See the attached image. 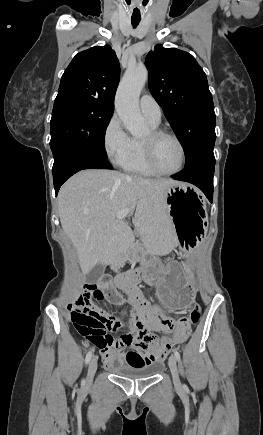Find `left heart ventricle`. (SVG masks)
I'll return each instance as SVG.
<instances>
[{
	"label": "left heart ventricle",
	"instance_id": "obj_1",
	"mask_svg": "<svg viewBox=\"0 0 263 435\" xmlns=\"http://www.w3.org/2000/svg\"><path fill=\"white\" fill-rule=\"evenodd\" d=\"M148 133L144 139L149 138ZM154 157L157 166L166 172L179 168L182 160L181 150L178 144L171 138L163 137L158 139L154 145Z\"/></svg>",
	"mask_w": 263,
	"mask_h": 435
}]
</instances>
